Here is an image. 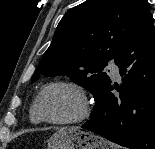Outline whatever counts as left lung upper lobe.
Masks as SVG:
<instances>
[{"label":"left lung upper lobe","instance_id":"1","mask_svg":"<svg viewBox=\"0 0 155 149\" xmlns=\"http://www.w3.org/2000/svg\"><path fill=\"white\" fill-rule=\"evenodd\" d=\"M147 0H86L59 22L32 82L67 75L94 97L111 81L103 69L150 15Z\"/></svg>","mask_w":155,"mask_h":149}]
</instances>
